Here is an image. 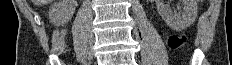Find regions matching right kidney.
Wrapping results in <instances>:
<instances>
[{
	"mask_svg": "<svg viewBox=\"0 0 232 65\" xmlns=\"http://www.w3.org/2000/svg\"><path fill=\"white\" fill-rule=\"evenodd\" d=\"M76 7V0H58L49 9V20L52 24L58 26L71 20Z\"/></svg>",
	"mask_w": 232,
	"mask_h": 65,
	"instance_id": "obj_1",
	"label": "right kidney"
}]
</instances>
